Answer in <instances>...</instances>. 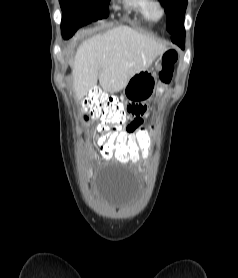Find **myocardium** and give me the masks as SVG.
Listing matches in <instances>:
<instances>
[{
    "instance_id": "f54148a6",
    "label": "myocardium",
    "mask_w": 238,
    "mask_h": 278,
    "mask_svg": "<svg viewBox=\"0 0 238 278\" xmlns=\"http://www.w3.org/2000/svg\"><path fill=\"white\" fill-rule=\"evenodd\" d=\"M148 12L152 20L159 21L165 16V7L160 0H148Z\"/></svg>"
}]
</instances>
